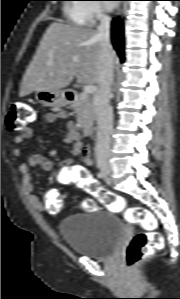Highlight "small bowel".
I'll return each instance as SVG.
<instances>
[{
  "label": "small bowel",
  "mask_w": 180,
  "mask_h": 299,
  "mask_svg": "<svg viewBox=\"0 0 180 299\" xmlns=\"http://www.w3.org/2000/svg\"><path fill=\"white\" fill-rule=\"evenodd\" d=\"M45 120L48 123H55L58 120H63L66 122L65 129L66 135L64 141L72 145V154L70 157L66 158L64 166L62 167V172L58 178L59 182L62 184H71L74 178L81 175L84 171V165H89L91 163L90 149L85 146L80 132L78 131L75 123L69 119L68 114L65 111H60L57 113H47L45 115ZM34 135V130L31 127H26L22 132L14 137V143L16 145H21L25 140L32 138ZM13 154L15 157L20 158L23 154L21 147L17 146L13 149ZM82 155L84 165L76 164L78 157ZM55 162L40 153H33L29 156L28 161H19L18 169L22 174V187L26 193L31 205L42 210L43 205L34 193L33 181H32V167H40L43 170L50 171L53 169Z\"/></svg>",
  "instance_id": "c3829d8e"
}]
</instances>
